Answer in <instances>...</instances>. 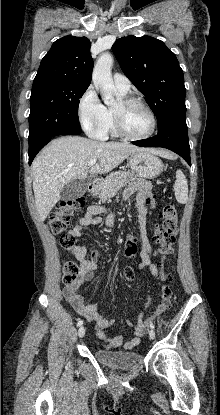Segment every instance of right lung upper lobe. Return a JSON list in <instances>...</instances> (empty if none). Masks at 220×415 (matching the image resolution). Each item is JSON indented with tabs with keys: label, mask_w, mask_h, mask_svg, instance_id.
<instances>
[{
	"label": "right lung upper lobe",
	"mask_w": 220,
	"mask_h": 415,
	"mask_svg": "<svg viewBox=\"0 0 220 415\" xmlns=\"http://www.w3.org/2000/svg\"><path fill=\"white\" fill-rule=\"evenodd\" d=\"M86 37L64 36L43 57L34 82L57 81L89 86L93 70Z\"/></svg>",
	"instance_id": "right-lung-upper-lobe-1"
}]
</instances>
